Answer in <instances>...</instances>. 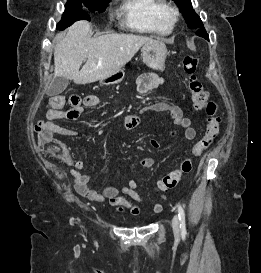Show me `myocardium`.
<instances>
[{"label": "myocardium", "instance_id": "f54148a6", "mask_svg": "<svg viewBox=\"0 0 261 273\" xmlns=\"http://www.w3.org/2000/svg\"><path fill=\"white\" fill-rule=\"evenodd\" d=\"M179 15H180L179 10L176 7L167 5V7L164 10L163 17L165 22L170 27H173L178 21Z\"/></svg>", "mask_w": 261, "mask_h": 273}]
</instances>
